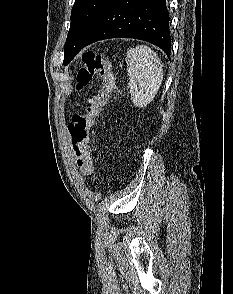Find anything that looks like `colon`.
I'll return each mask as SVG.
<instances>
[{
	"instance_id": "obj_1",
	"label": "colon",
	"mask_w": 233,
	"mask_h": 294,
	"mask_svg": "<svg viewBox=\"0 0 233 294\" xmlns=\"http://www.w3.org/2000/svg\"><path fill=\"white\" fill-rule=\"evenodd\" d=\"M93 78L99 79V88L87 99L86 105L73 115L68 126L76 165L89 180H92L93 174L90 132L101 111L116 91V77L108 59L100 53L88 51L82 56V65L77 74V89L89 84Z\"/></svg>"
}]
</instances>
